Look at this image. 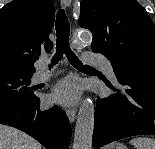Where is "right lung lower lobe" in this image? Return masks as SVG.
Segmentation results:
<instances>
[{"label": "right lung lower lobe", "instance_id": "obj_1", "mask_svg": "<svg viewBox=\"0 0 155 149\" xmlns=\"http://www.w3.org/2000/svg\"><path fill=\"white\" fill-rule=\"evenodd\" d=\"M0 124L13 126L35 138L47 149H68L71 128L61 108L40 110V99L0 101Z\"/></svg>", "mask_w": 155, "mask_h": 149}]
</instances>
